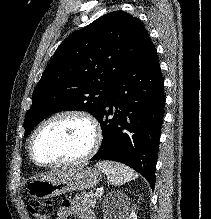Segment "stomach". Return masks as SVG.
Here are the masks:
<instances>
[{
  "instance_id": "stomach-1",
  "label": "stomach",
  "mask_w": 211,
  "mask_h": 219,
  "mask_svg": "<svg viewBox=\"0 0 211 219\" xmlns=\"http://www.w3.org/2000/svg\"><path fill=\"white\" fill-rule=\"evenodd\" d=\"M101 180L102 175L97 169H70L50 178L32 181L28 185V193L34 197L46 199L71 191L91 189Z\"/></svg>"
}]
</instances>
